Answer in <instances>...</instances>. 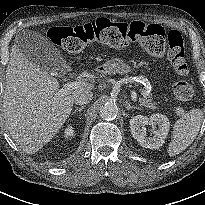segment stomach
Returning a JSON list of instances; mask_svg holds the SVG:
<instances>
[{
  "instance_id": "0dacf381",
  "label": "stomach",
  "mask_w": 205,
  "mask_h": 205,
  "mask_svg": "<svg viewBox=\"0 0 205 205\" xmlns=\"http://www.w3.org/2000/svg\"><path fill=\"white\" fill-rule=\"evenodd\" d=\"M105 73L108 74H127L131 72V67L128 65H125L123 62L119 60H111L108 61V63L104 66Z\"/></svg>"
}]
</instances>
